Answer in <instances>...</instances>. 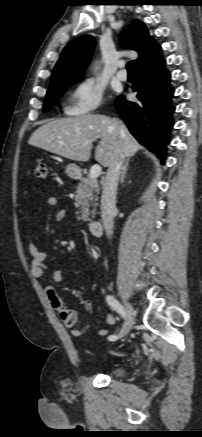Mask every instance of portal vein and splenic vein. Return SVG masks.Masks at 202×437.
<instances>
[{"label":"portal vein and splenic vein","instance_id":"obj_1","mask_svg":"<svg viewBox=\"0 0 202 437\" xmlns=\"http://www.w3.org/2000/svg\"><path fill=\"white\" fill-rule=\"evenodd\" d=\"M102 168L100 165H94L90 169L89 177L91 179H97L101 175Z\"/></svg>","mask_w":202,"mask_h":437}]
</instances>
